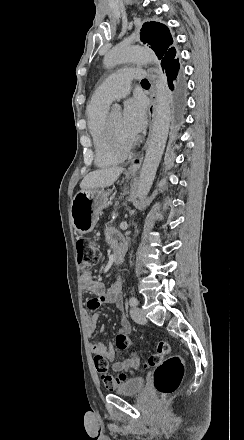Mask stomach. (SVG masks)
Here are the masks:
<instances>
[{
  "instance_id": "obj_1",
  "label": "stomach",
  "mask_w": 244,
  "mask_h": 440,
  "mask_svg": "<svg viewBox=\"0 0 244 440\" xmlns=\"http://www.w3.org/2000/svg\"><path fill=\"white\" fill-rule=\"evenodd\" d=\"M111 190H79L70 206L72 226L77 234L92 232L99 214L106 208Z\"/></svg>"
}]
</instances>
